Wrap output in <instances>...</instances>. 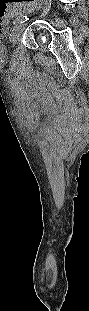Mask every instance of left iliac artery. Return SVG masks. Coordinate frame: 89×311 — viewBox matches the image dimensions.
<instances>
[{
  "label": "left iliac artery",
  "instance_id": "left-iliac-artery-1",
  "mask_svg": "<svg viewBox=\"0 0 89 311\" xmlns=\"http://www.w3.org/2000/svg\"><path fill=\"white\" fill-rule=\"evenodd\" d=\"M27 19H28V18H27L26 16H21V17L17 18L16 21H14V24H15V23H20V24H22V23H24Z\"/></svg>",
  "mask_w": 89,
  "mask_h": 311
}]
</instances>
